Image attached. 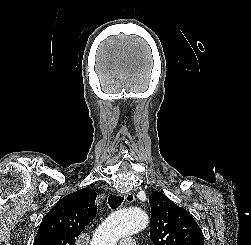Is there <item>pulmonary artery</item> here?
I'll return each mask as SVG.
<instances>
[{
  "label": "pulmonary artery",
  "mask_w": 251,
  "mask_h": 245,
  "mask_svg": "<svg viewBox=\"0 0 251 245\" xmlns=\"http://www.w3.org/2000/svg\"><path fill=\"white\" fill-rule=\"evenodd\" d=\"M120 245H136V243L132 239H125L120 242Z\"/></svg>",
  "instance_id": "pulmonary-artery-1"
}]
</instances>
